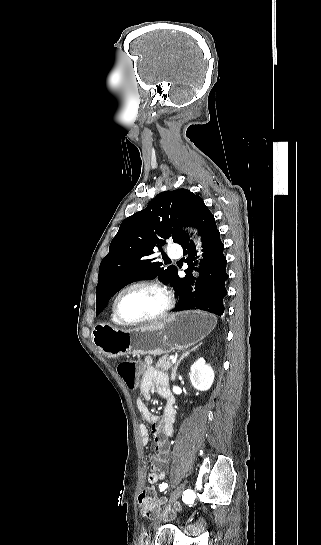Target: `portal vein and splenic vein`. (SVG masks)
<instances>
[{
	"mask_svg": "<svg viewBox=\"0 0 321 545\" xmlns=\"http://www.w3.org/2000/svg\"><path fill=\"white\" fill-rule=\"evenodd\" d=\"M169 359H175L174 355H169Z\"/></svg>",
	"mask_w": 321,
	"mask_h": 545,
	"instance_id": "18ae733b",
	"label": "portal vein and splenic vein"
}]
</instances>
